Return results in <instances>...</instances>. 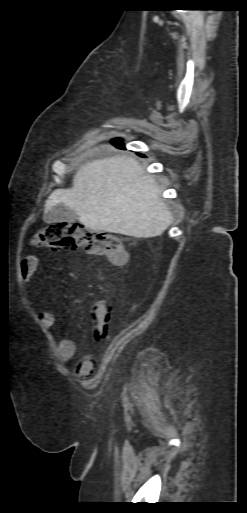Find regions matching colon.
<instances>
[{
    "label": "colon",
    "instance_id": "colon-1",
    "mask_svg": "<svg viewBox=\"0 0 247 513\" xmlns=\"http://www.w3.org/2000/svg\"><path fill=\"white\" fill-rule=\"evenodd\" d=\"M39 239L50 247L81 248L90 254L105 255L118 265H125L129 261V252L115 235L93 231L79 223L62 222L48 225L40 233ZM90 311L91 322L95 327L94 336L97 340H102L112 322V303L109 300H94Z\"/></svg>",
    "mask_w": 247,
    "mask_h": 513
}]
</instances>
